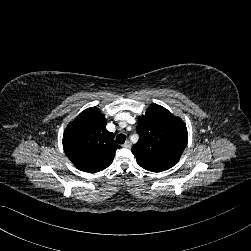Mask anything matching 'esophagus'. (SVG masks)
Here are the masks:
<instances>
[{
  "mask_svg": "<svg viewBox=\"0 0 251 251\" xmlns=\"http://www.w3.org/2000/svg\"><path fill=\"white\" fill-rule=\"evenodd\" d=\"M124 148H130L131 147V143L127 140L124 144H123Z\"/></svg>",
  "mask_w": 251,
  "mask_h": 251,
  "instance_id": "esophagus-1",
  "label": "esophagus"
}]
</instances>
